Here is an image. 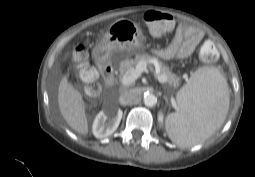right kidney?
Returning <instances> with one entry per match:
<instances>
[{
	"label": "right kidney",
	"mask_w": 255,
	"mask_h": 177,
	"mask_svg": "<svg viewBox=\"0 0 255 177\" xmlns=\"http://www.w3.org/2000/svg\"><path fill=\"white\" fill-rule=\"evenodd\" d=\"M122 115L121 109L109 115H106L103 111L99 112L92 126L94 136L99 139L110 136L118 128Z\"/></svg>",
	"instance_id": "ca27d5eb"
}]
</instances>
